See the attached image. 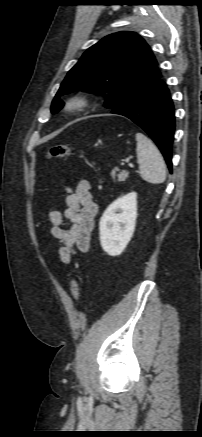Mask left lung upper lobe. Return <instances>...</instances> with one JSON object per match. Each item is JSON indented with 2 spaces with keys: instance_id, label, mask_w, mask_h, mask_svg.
<instances>
[{
  "instance_id": "1",
  "label": "left lung upper lobe",
  "mask_w": 202,
  "mask_h": 437,
  "mask_svg": "<svg viewBox=\"0 0 202 437\" xmlns=\"http://www.w3.org/2000/svg\"><path fill=\"white\" fill-rule=\"evenodd\" d=\"M159 76L157 61L142 37L128 31L110 34L91 46L68 72L51 112L63 107L59 96L78 90L102 95L105 107L113 109Z\"/></svg>"
}]
</instances>
